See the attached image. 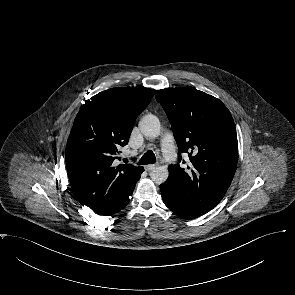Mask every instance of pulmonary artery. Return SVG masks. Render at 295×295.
<instances>
[{"label":"pulmonary artery","mask_w":295,"mask_h":295,"mask_svg":"<svg viewBox=\"0 0 295 295\" xmlns=\"http://www.w3.org/2000/svg\"><path fill=\"white\" fill-rule=\"evenodd\" d=\"M161 148H162V153L165 159L169 161L171 164L174 163L176 160V152H175L173 138L170 134H166L162 138Z\"/></svg>","instance_id":"pulmonary-artery-1"}]
</instances>
